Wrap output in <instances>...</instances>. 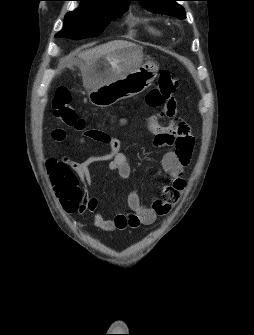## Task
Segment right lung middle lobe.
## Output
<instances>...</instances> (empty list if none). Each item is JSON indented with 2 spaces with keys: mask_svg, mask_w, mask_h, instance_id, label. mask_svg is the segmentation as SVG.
<instances>
[{
  "mask_svg": "<svg viewBox=\"0 0 254 335\" xmlns=\"http://www.w3.org/2000/svg\"><path fill=\"white\" fill-rule=\"evenodd\" d=\"M128 6L82 3L80 8L66 14L63 29L55 37L97 36L111 20L120 17Z\"/></svg>",
  "mask_w": 254,
  "mask_h": 335,
  "instance_id": "right-lung-middle-lobe-1",
  "label": "right lung middle lobe"
}]
</instances>
